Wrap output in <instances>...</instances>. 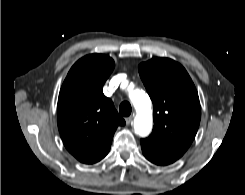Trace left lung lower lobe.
<instances>
[{"label":"left lung lower lobe","instance_id":"obj_1","mask_svg":"<svg viewBox=\"0 0 245 195\" xmlns=\"http://www.w3.org/2000/svg\"><path fill=\"white\" fill-rule=\"evenodd\" d=\"M141 147L144 156L157 165H169L186 152L184 148L163 144L152 137L141 139Z\"/></svg>","mask_w":245,"mask_h":195}]
</instances>
